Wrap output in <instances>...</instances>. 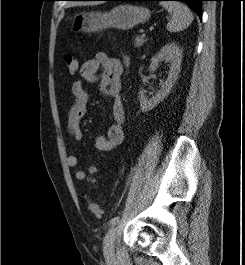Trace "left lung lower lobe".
<instances>
[{
	"instance_id": "left-lung-lower-lobe-1",
	"label": "left lung lower lobe",
	"mask_w": 245,
	"mask_h": 265,
	"mask_svg": "<svg viewBox=\"0 0 245 265\" xmlns=\"http://www.w3.org/2000/svg\"><path fill=\"white\" fill-rule=\"evenodd\" d=\"M96 1V0H87ZM105 1H183L188 3L192 9L202 18V1L206 0H105Z\"/></svg>"
}]
</instances>
